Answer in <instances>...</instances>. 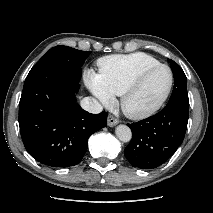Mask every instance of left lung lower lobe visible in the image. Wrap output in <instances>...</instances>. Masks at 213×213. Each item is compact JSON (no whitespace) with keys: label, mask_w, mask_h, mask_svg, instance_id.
<instances>
[{"label":"left lung lower lobe","mask_w":213,"mask_h":213,"mask_svg":"<svg viewBox=\"0 0 213 213\" xmlns=\"http://www.w3.org/2000/svg\"><path fill=\"white\" fill-rule=\"evenodd\" d=\"M188 108V103L169 101L159 113L127 124L133 138L124 154L133 167L156 168L175 153L185 136Z\"/></svg>","instance_id":"1"}]
</instances>
